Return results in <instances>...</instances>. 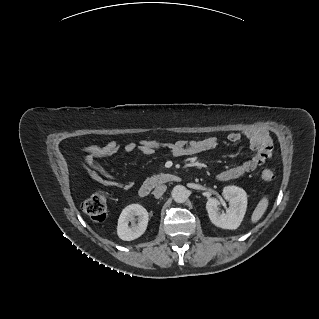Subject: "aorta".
<instances>
[{"mask_svg":"<svg viewBox=\"0 0 319 319\" xmlns=\"http://www.w3.org/2000/svg\"><path fill=\"white\" fill-rule=\"evenodd\" d=\"M189 197V191L183 185H176L172 190V198L177 203H184Z\"/></svg>","mask_w":319,"mask_h":319,"instance_id":"1","label":"aorta"}]
</instances>
